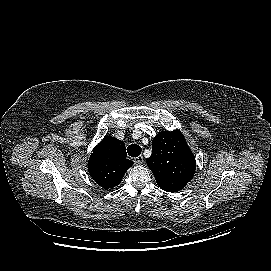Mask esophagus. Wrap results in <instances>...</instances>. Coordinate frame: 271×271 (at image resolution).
Wrapping results in <instances>:
<instances>
[{"label":"esophagus","mask_w":271,"mask_h":271,"mask_svg":"<svg viewBox=\"0 0 271 271\" xmlns=\"http://www.w3.org/2000/svg\"><path fill=\"white\" fill-rule=\"evenodd\" d=\"M134 162H135V164H137V165L142 164V163H143V157H142V156L136 157V158L134 159Z\"/></svg>","instance_id":"esophagus-1"}]
</instances>
